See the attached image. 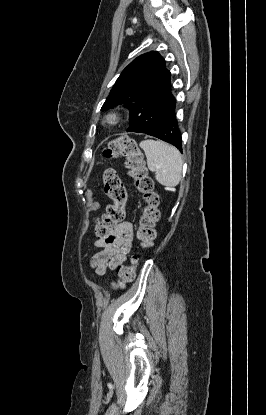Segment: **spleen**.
<instances>
[{
    "label": "spleen",
    "instance_id": "spleen-1",
    "mask_svg": "<svg viewBox=\"0 0 266 415\" xmlns=\"http://www.w3.org/2000/svg\"><path fill=\"white\" fill-rule=\"evenodd\" d=\"M150 171L155 172L156 180L163 186L175 187L182 177V157L172 145L162 141L144 140L140 142Z\"/></svg>",
    "mask_w": 266,
    "mask_h": 415
}]
</instances>
